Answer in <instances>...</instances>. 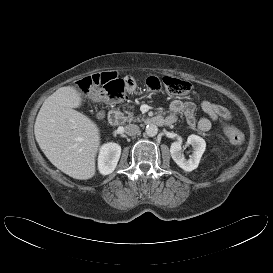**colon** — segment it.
I'll list each match as a JSON object with an SVG mask.
<instances>
[{"label": "colon", "instance_id": "1", "mask_svg": "<svg viewBox=\"0 0 273 273\" xmlns=\"http://www.w3.org/2000/svg\"><path fill=\"white\" fill-rule=\"evenodd\" d=\"M96 86H102L100 94L94 92ZM147 89L152 93H158L164 88L171 95L181 96L187 94L191 89V84L182 79L174 77H150L146 81ZM78 89L85 97H101L107 101H118L124 98L125 79L115 72H102L83 78L78 82ZM223 130L230 142L241 147L245 142L244 134L230 124H224Z\"/></svg>", "mask_w": 273, "mask_h": 273}]
</instances>
